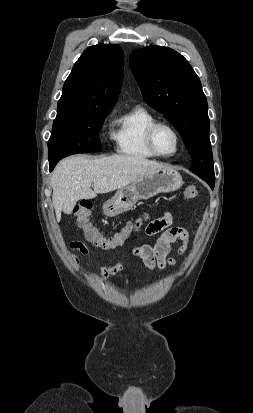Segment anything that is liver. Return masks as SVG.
<instances>
[{
  "instance_id": "obj_1",
  "label": "liver",
  "mask_w": 253,
  "mask_h": 413,
  "mask_svg": "<svg viewBox=\"0 0 253 413\" xmlns=\"http://www.w3.org/2000/svg\"><path fill=\"white\" fill-rule=\"evenodd\" d=\"M164 168L168 167L139 156L113 155L93 159L78 155L65 158L51 174L56 219L61 220L62 212L69 214L81 199L122 189L140 176Z\"/></svg>"
}]
</instances>
